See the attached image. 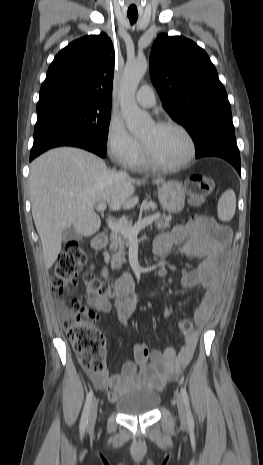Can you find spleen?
<instances>
[{
	"label": "spleen",
	"mask_w": 263,
	"mask_h": 465,
	"mask_svg": "<svg viewBox=\"0 0 263 465\" xmlns=\"http://www.w3.org/2000/svg\"><path fill=\"white\" fill-rule=\"evenodd\" d=\"M218 218L221 221H230L236 210V195L232 189L222 194L218 201Z\"/></svg>",
	"instance_id": "obj_1"
}]
</instances>
